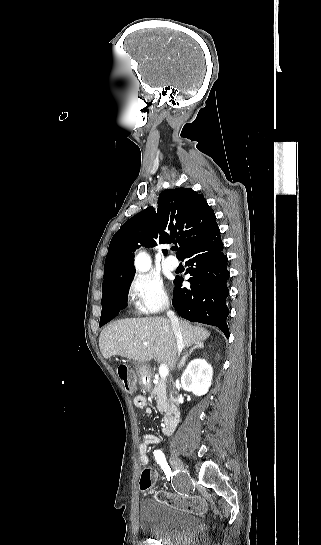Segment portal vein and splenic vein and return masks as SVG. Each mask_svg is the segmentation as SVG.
<instances>
[{"label": "portal vein and splenic vein", "instance_id": "18ae733b", "mask_svg": "<svg viewBox=\"0 0 321 545\" xmlns=\"http://www.w3.org/2000/svg\"><path fill=\"white\" fill-rule=\"evenodd\" d=\"M144 345H148V343H144ZM159 375H160L161 379H166L167 375H169V369H168L167 365H160Z\"/></svg>", "mask_w": 321, "mask_h": 545}]
</instances>
